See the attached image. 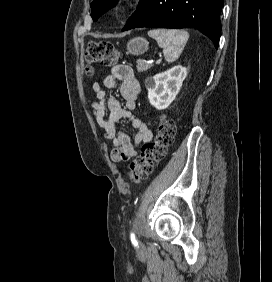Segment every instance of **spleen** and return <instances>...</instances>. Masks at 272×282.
Returning a JSON list of instances; mask_svg holds the SVG:
<instances>
[{
  "label": "spleen",
  "mask_w": 272,
  "mask_h": 282,
  "mask_svg": "<svg viewBox=\"0 0 272 282\" xmlns=\"http://www.w3.org/2000/svg\"><path fill=\"white\" fill-rule=\"evenodd\" d=\"M148 35L154 38L163 49L168 63L179 58L189 39L188 32L176 29H153L148 32Z\"/></svg>",
  "instance_id": "spleen-1"
}]
</instances>
